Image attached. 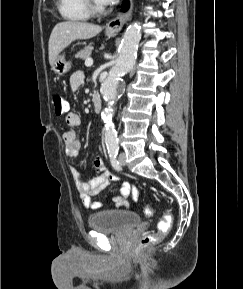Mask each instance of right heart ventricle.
Instances as JSON below:
<instances>
[{
    "instance_id": "e07e8e85",
    "label": "right heart ventricle",
    "mask_w": 243,
    "mask_h": 289,
    "mask_svg": "<svg viewBox=\"0 0 243 289\" xmlns=\"http://www.w3.org/2000/svg\"><path fill=\"white\" fill-rule=\"evenodd\" d=\"M57 9L64 19L70 21H85L90 17L84 0H58Z\"/></svg>"
}]
</instances>
